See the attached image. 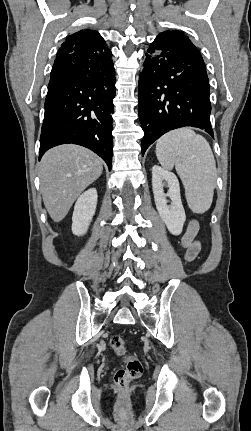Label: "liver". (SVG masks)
<instances>
[{
    "label": "liver",
    "mask_w": 251,
    "mask_h": 431,
    "mask_svg": "<svg viewBox=\"0 0 251 431\" xmlns=\"http://www.w3.org/2000/svg\"><path fill=\"white\" fill-rule=\"evenodd\" d=\"M103 171V161L78 145H61L47 151L39 165L44 205L54 222H60L75 200Z\"/></svg>",
    "instance_id": "6515ba94"
}]
</instances>
